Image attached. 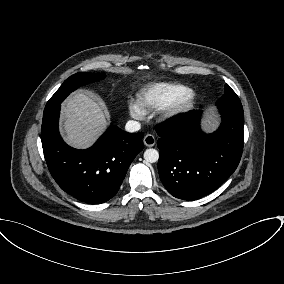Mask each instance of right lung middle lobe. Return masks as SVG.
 <instances>
[{"mask_svg":"<svg viewBox=\"0 0 284 284\" xmlns=\"http://www.w3.org/2000/svg\"><path fill=\"white\" fill-rule=\"evenodd\" d=\"M105 77L102 73H76L69 78H67L60 88L54 93V95L47 102L44 112H47L56 106L60 105L61 102L75 89L78 87L94 82Z\"/></svg>","mask_w":284,"mask_h":284,"instance_id":"obj_1","label":"right lung middle lobe"}]
</instances>
